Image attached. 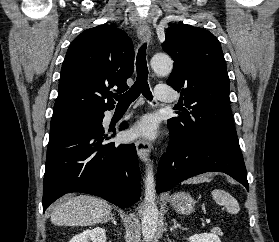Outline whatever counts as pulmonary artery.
Listing matches in <instances>:
<instances>
[{"mask_svg": "<svg viewBox=\"0 0 279 242\" xmlns=\"http://www.w3.org/2000/svg\"><path fill=\"white\" fill-rule=\"evenodd\" d=\"M155 96L161 102L170 103L174 101L172 88L169 85H157L155 88Z\"/></svg>", "mask_w": 279, "mask_h": 242, "instance_id": "obj_1", "label": "pulmonary artery"}]
</instances>
